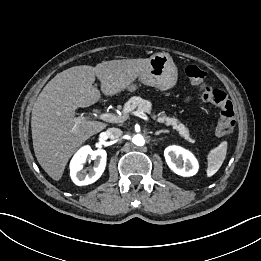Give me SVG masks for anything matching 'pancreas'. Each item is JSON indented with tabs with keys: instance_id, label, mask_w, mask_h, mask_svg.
I'll return each instance as SVG.
<instances>
[{
	"instance_id": "cf45deb5",
	"label": "pancreas",
	"mask_w": 261,
	"mask_h": 261,
	"mask_svg": "<svg viewBox=\"0 0 261 261\" xmlns=\"http://www.w3.org/2000/svg\"><path fill=\"white\" fill-rule=\"evenodd\" d=\"M134 109L140 112L151 113L152 103L148 100L142 99L139 96L131 97L124 105V114L132 112ZM127 117H125L126 119ZM154 119H157L158 122L165 123L167 126H172L181 137L187 140L190 143H194L195 140L191 138L188 128L180 123V121L174 117H167L164 113H158L153 115Z\"/></svg>"
}]
</instances>
